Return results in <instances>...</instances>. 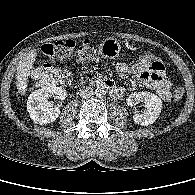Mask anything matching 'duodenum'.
<instances>
[{
  "label": "duodenum",
  "mask_w": 195,
  "mask_h": 195,
  "mask_svg": "<svg viewBox=\"0 0 195 195\" xmlns=\"http://www.w3.org/2000/svg\"><path fill=\"white\" fill-rule=\"evenodd\" d=\"M97 86L106 88L110 90L111 92H114L116 90V85L111 80H101L96 83Z\"/></svg>",
  "instance_id": "410a0bca"
}]
</instances>
